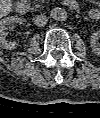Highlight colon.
I'll return each instance as SVG.
<instances>
[{
    "instance_id": "1",
    "label": "colon",
    "mask_w": 100,
    "mask_h": 118,
    "mask_svg": "<svg viewBox=\"0 0 100 118\" xmlns=\"http://www.w3.org/2000/svg\"><path fill=\"white\" fill-rule=\"evenodd\" d=\"M92 16L95 17V18H98V17H99V12L96 11V10H94V11L92 12Z\"/></svg>"
}]
</instances>
